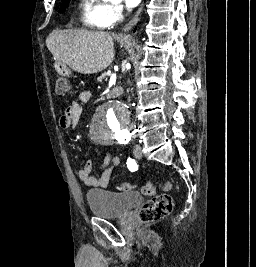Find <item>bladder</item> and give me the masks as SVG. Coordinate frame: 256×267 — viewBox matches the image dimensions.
Instances as JSON below:
<instances>
[{"instance_id":"bladder-1","label":"bladder","mask_w":256,"mask_h":267,"mask_svg":"<svg viewBox=\"0 0 256 267\" xmlns=\"http://www.w3.org/2000/svg\"><path fill=\"white\" fill-rule=\"evenodd\" d=\"M87 201L93 215L104 218L125 217L138 204L143 203L142 195H122L107 190L87 192Z\"/></svg>"}]
</instances>
